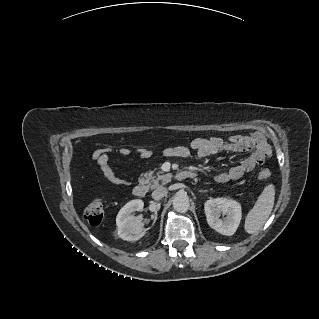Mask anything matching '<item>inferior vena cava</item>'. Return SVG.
Returning a JSON list of instances; mask_svg holds the SVG:
<instances>
[{
  "mask_svg": "<svg viewBox=\"0 0 319 319\" xmlns=\"http://www.w3.org/2000/svg\"><path fill=\"white\" fill-rule=\"evenodd\" d=\"M167 194V188L159 187L152 192V198L154 200H160Z\"/></svg>",
  "mask_w": 319,
  "mask_h": 319,
  "instance_id": "602c4592",
  "label": "inferior vena cava"
}]
</instances>
